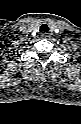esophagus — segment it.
I'll return each instance as SVG.
<instances>
[{
  "label": "esophagus",
  "instance_id": "esophagus-1",
  "mask_svg": "<svg viewBox=\"0 0 81 124\" xmlns=\"http://www.w3.org/2000/svg\"><path fill=\"white\" fill-rule=\"evenodd\" d=\"M41 37L42 38H47V37H49V34L44 32V33L41 34Z\"/></svg>",
  "mask_w": 81,
  "mask_h": 124
}]
</instances>
